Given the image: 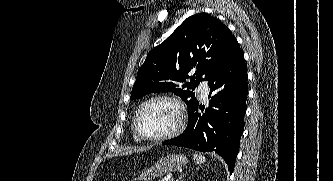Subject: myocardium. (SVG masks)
<instances>
[{"instance_id": "1", "label": "myocardium", "mask_w": 333, "mask_h": 181, "mask_svg": "<svg viewBox=\"0 0 333 181\" xmlns=\"http://www.w3.org/2000/svg\"><path fill=\"white\" fill-rule=\"evenodd\" d=\"M157 100H165V101L172 102L177 107L178 123L168 133H165L160 136H146L140 131V129L138 127V119H139V116H140L142 110L144 109V107ZM185 121H186V110H185V107H184L183 103L181 102V100L173 95L158 94V95H154V96L146 99L145 101H143L140 104V106L138 107V109L134 115L133 121H132V129H133L134 134L139 139H142L145 141H152V142H161V141L169 140V139L177 136L178 134H180L184 129Z\"/></svg>"}]
</instances>
